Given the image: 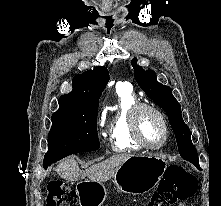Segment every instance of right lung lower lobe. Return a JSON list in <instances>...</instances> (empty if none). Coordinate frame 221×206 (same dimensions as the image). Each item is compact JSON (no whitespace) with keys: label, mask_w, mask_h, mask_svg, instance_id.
Segmentation results:
<instances>
[{"label":"right lung lower lobe","mask_w":221,"mask_h":206,"mask_svg":"<svg viewBox=\"0 0 221 206\" xmlns=\"http://www.w3.org/2000/svg\"><path fill=\"white\" fill-rule=\"evenodd\" d=\"M50 165H51V164H50ZM48 166H49V164L43 165V167H44L45 169H47Z\"/></svg>","instance_id":"1"}]
</instances>
